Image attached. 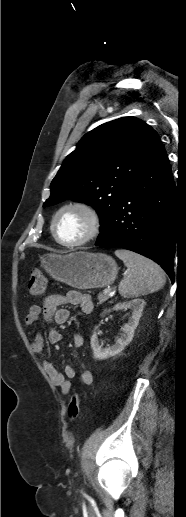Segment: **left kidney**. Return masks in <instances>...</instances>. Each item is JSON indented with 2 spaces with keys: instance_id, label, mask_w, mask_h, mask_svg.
I'll use <instances>...</instances> for the list:
<instances>
[{
  "instance_id": "obj_1",
  "label": "left kidney",
  "mask_w": 186,
  "mask_h": 517,
  "mask_svg": "<svg viewBox=\"0 0 186 517\" xmlns=\"http://www.w3.org/2000/svg\"><path fill=\"white\" fill-rule=\"evenodd\" d=\"M145 305V301L143 299H134L127 302L117 303L113 310H127L130 309L132 311V315L129 317L128 323H126L121 329L122 334L120 338H118L114 345L108 348H102L99 344V340L96 334L97 326L94 329L93 335L91 337V348L93 350V356L95 359L103 360L108 357L115 356L120 353L125 346H127L133 339L134 331L139 323V319L142 315L143 308ZM111 310H105L102 313V316L109 313Z\"/></svg>"
}]
</instances>
